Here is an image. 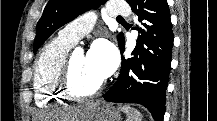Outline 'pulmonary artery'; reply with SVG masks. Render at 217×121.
I'll return each mask as SVG.
<instances>
[{"mask_svg": "<svg viewBox=\"0 0 217 121\" xmlns=\"http://www.w3.org/2000/svg\"><path fill=\"white\" fill-rule=\"evenodd\" d=\"M106 12L111 17H122L129 13V7L111 3L107 5ZM96 22V15L92 12L86 13L66 25L58 34L63 40L75 44L79 39L92 30Z\"/></svg>", "mask_w": 217, "mask_h": 121, "instance_id": "1", "label": "pulmonary artery"}]
</instances>
